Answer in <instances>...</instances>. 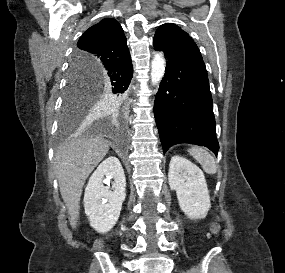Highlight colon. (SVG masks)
Returning a JSON list of instances; mask_svg holds the SVG:
<instances>
[{
    "label": "colon",
    "mask_w": 285,
    "mask_h": 273,
    "mask_svg": "<svg viewBox=\"0 0 285 273\" xmlns=\"http://www.w3.org/2000/svg\"><path fill=\"white\" fill-rule=\"evenodd\" d=\"M212 231H213V233H218V231H219V226L217 225V224H215L213 227H212Z\"/></svg>",
    "instance_id": "colon-1"
}]
</instances>
